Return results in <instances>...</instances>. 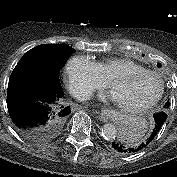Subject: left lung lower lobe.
I'll return each mask as SVG.
<instances>
[{
    "mask_svg": "<svg viewBox=\"0 0 177 177\" xmlns=\"http://www.w3.org/2000/svg\"><path fill=\"white\" fill-rule=\"evenodd\" d=\"M166 118H167V114L165 112L156 113L154 115V120H155L154 129L151 135L140 145L132 147V146L123 145L117 142H113L112 148L115 151L120 152V153H134V152L140 151L141 149L145 148L147 145H149L154 140L158 132L161 130Z\"/></svg>",
    "mask_w": 177,
    "mask_h": 177,
    "instance_id": "1",
    "label": "left lung lower lobe"
}]
</instances>
